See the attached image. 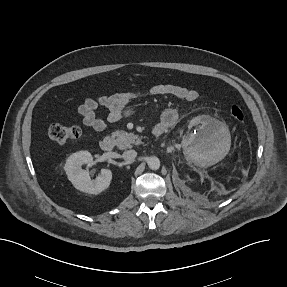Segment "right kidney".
I'll return each instance as SVG.
<instances>
[{"instance_id": "1", "label": "right kidney", "mask_w": 287, "mask_h": 287, "mask_svg": "<svg viewBox=\"0 0 287 287\" xmlns=\"http://www.w3.org/2000/svg\"><path fill=\"white\" fill-rule=\"evenodd\" d=\"M92 161L91 153L79 151L67 159L64 169L69 181L77 190L88 194H99L109 187L112 172L109 169H102L96 179L92 180L89 172L82 169L83 164H89Z\"/></svg>"}]
</instances>
